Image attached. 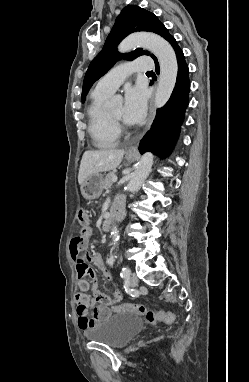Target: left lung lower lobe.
<instances>
[{
    "mask_svg": "<svg viewBox=\"0 0 249 382\" xmlns=\"http://www.w3.org/2000/svg\"><path fill=\"white\" fill-rule=\"evenodd\" d=\"M173 47L177 62L178 74L175 88L168 102L157 110L151 129L143 137L139 144L141 153L151 151L160 157H166L170 153L180 131L184 119V112L188 106L190 91L189 69L185 62L184 54L174 37L168 41ZM156 71L159 65L155 59Z\"/></svg>",
    "mask_w": 249,
    "mask_h": 382,
    "instance_id": "obj_1",
    "label": "left lung lower lobe"
}]
</instances>
